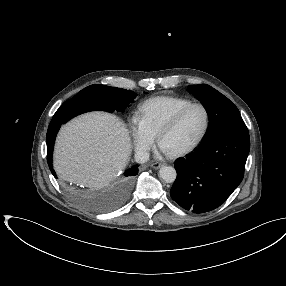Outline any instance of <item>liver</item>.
Instances as JSON below:
<instances>
[{
  "label": "liver",
  "mask_w": 286,
  "mask_h": 286,
  "mask_svg": "<svg viewBox=\"0 0 286 286\" xmlns=\"http://www.w3.org/2000/svg\"><path fill=\"white\" fill-rule=\"evenodd\" d=\"M131 142L124 123L104 112L72 119L59 131L54 169L65 181L90 188L109 184L128 164Z\"/></svg>",
  "instance_id": "liver-1"
}]
</instances>
